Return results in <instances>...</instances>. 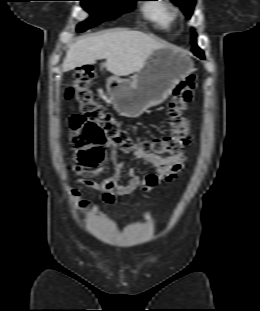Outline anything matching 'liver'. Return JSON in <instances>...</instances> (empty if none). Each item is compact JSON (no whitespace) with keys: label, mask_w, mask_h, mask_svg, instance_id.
<instances>
[{"label":"liver","mask_w":260,"mask_h":311,"mask_svg":"<svg viewBox=\"0 0 260 311\" xmlns=\"http://www.w3.org/2000/svg\"><path fill=\"white\" fill-rule=\"evenodd\" d=\"M166 46L169 45L140 31H109L83 37L72 44L66 53L62 69L69 71L106 59L104 66L109 72L127 76L139 71L155 49Z\"/></svg>","instance_id":"obj_1"}]
</instances>
